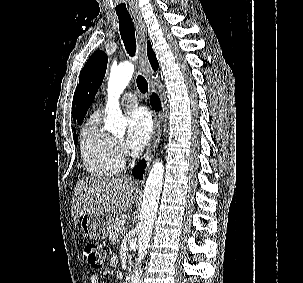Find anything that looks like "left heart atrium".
Wrapping results in <instances>:
<instances>
[{
    "label": "left heart atrium",
    "mask_w": 303,
    "mask_h": 283,
    "mask_svg": "<svg viewBox=\"0 0 303 283\" xmlns=\"http://www.w3.org/2000/svg\"><path fill=\"white\" fill-rule=\"evenodd\" d=\"M127 140L134 149L144 147L152 134V120L149 112L143 107L131 109L127 115Z\"/></svg>",
    "instance_id": "obj_1"
}]
</instances>
